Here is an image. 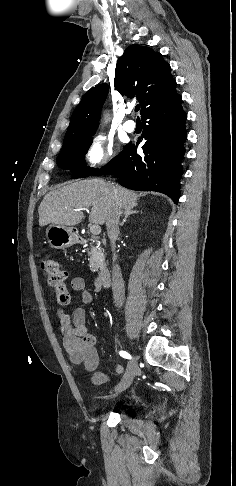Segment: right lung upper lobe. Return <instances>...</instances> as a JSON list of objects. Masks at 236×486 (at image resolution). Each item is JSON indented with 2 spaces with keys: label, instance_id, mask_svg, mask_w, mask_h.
<instances>
[{
  "label": "right lung upper lobe",
  "instance_id": "right-lung-upper-lobe-1",
  "mask_svg": "<svg viewBox=\"0 0 236 486\" xmlns=\"http://www.w3.org/2000/svg\"><path fill=\"white\" fill-rule=\"evenodd\" d=\"M170 65L160 53L140 45L129 46L118 59L115 70V89L129 98L137 96L140 114L150 105L176 94V81ZM108 85L90 89L74 110L63 145L96 131Z\"/></svg>",
  "mask_w": 236,
  "mask_h": 486
}]
</instances>
